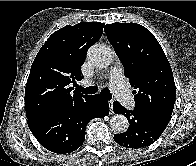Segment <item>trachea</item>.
<instances>
[{"label":"trachea","instance_id":"obj_1","mask_svg":"<svg viewBox=\"0 0 196 166\" xmlns=\"http://www.w3.org/2000/svg\"><path fill=\"white\" fill-rule=\"evenodd\" d=\"M76 89L84 94H94L97 92V87L96 86H90L87 88L81 87L79 85L76 86ZM101 94L107 99V100H111L112 99V95L110 93V91L107 88H104L101 90Z\"/></svg>","mask_w":196,"mask_h":166}]
</instances>
